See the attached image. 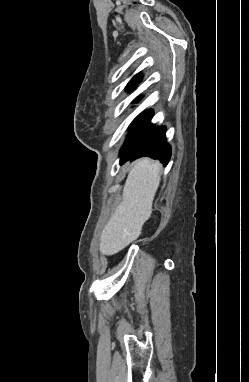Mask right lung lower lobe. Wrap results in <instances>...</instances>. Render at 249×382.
<instances>
[{
  "label": "right lung lower lobe",
  "mask_w": 249,
  "mask_h": 382,
  "mask_svg": "<svg viewBox=\"0 0 249 382\" xmlns=\"http://www.w3.org/2000/svg\"><path fill=\"white\" fill-rule=\"evenodd\" d=\"M153 115L154 111L149 110L133 126L121 149V162L148 156L167 165L171 156V147L166 141V128L151 124Z\"/></svg>",
  "instance_id": "98d812e1"
}]
</instances>
